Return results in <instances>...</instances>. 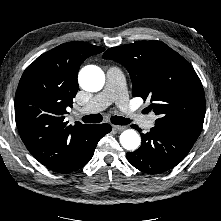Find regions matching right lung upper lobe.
<instances>
[{"label":"right lung upper lobe","instance_id":"right-lung-upper-lobe-1","mask_svg":"<svg viewBox=\"0 0 221 221\" xmlns=\"http://www.w3.org/2000/svg\"><path fill=\"white\" fill-rule=\"evenodd\" d=\"M81 41L61 44L40 55L24 71L15 95V120L29 152L50 166L66 157L82 132L92 125L64 121L78 91L77 74L83 61L103 52Z\"/></svg>","mask_w":221,"mask_h":221}]
</instances>
